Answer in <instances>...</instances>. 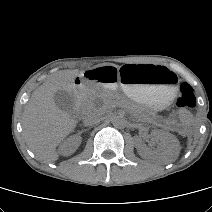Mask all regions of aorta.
<instances>
[{"label":"aorta","instance_id":"obj_1","mask_svg":"<svg viewBox=\"0 0 212 212\" xmlns=\"http://www.w3.org/2000/svg\"><path fill=\"white\" fill-rule=\"evenodd\" d=\"M126 123L127 121L125 117L121 115L114 116L112 119V124L115 128H124Z\"/></svg>","mask_w":212,"mask_h":212}]
</instances>
